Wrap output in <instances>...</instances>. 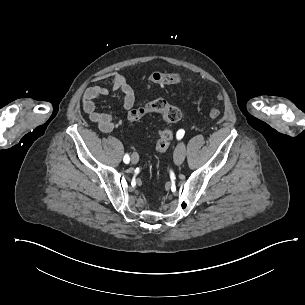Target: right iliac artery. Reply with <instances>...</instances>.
Here are the masks:
<instances>
[{"mask_svg":"<svg viewBox=\"0 0 305 305\" xmlns=\"http://www.w3.org/2000/svg\"><path fill=\"white\" fill-rule=\"evenodd\" d=\"M124 162L125 163H129V161H130V158H129V155L128 154H126L125 156H124Z\"/></svg>","mask_w":305,"mask_h":305,"instance_id":"82829eb1","label":"right iliac artery"}]
</instances>
